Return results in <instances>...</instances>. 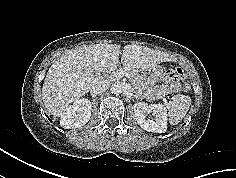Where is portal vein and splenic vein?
I'll use <instances>...</instances> for the list:
<instances>
[{
    "instance_id": "obj_1",
    "label": "portal vein and splenic vein",
    "mask_w": 236,
    "mask_h": 178,
    "mask_svg": "<svg viewBox=\"0 0 236 178\" xmlns=\"http://www.w3.org/2000/svg\"><path fill=\"white\" fill-rule=\"evenodd\" d=\"M114 76L116 77V78H122V77H127V78H130V75H129V73H127V72H124V71H116V72H114Z\"/></svg>"
}]
</instances>
